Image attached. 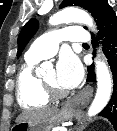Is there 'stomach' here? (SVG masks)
Returning <instances> with one entry per match:
<instances>
[{
	"label": "stomach",
	"instance_id": "0dacf381",
	"mask_svg": "<svg viewBox=\"0 0 117 131\" xmlns=\"http://www.w3.org/2000/svg\"><path fill=\"white\" fill-rule=\"evenodd\" d=\"M74 111L65 106L58 110L52 116L42 120H27L16 123L12 130L14 131H51L52 128L58 126L62 122L72 119Z\"/></svg>",
	"mask_w": 117,
	"mask_h": 131
}]
</instances>
